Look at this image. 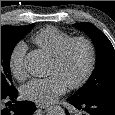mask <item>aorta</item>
Here are the masks:
<instances>
[{"label": "aorta", "mask_w": 115, "mask_h": 115, "mask_svg": "<svg viewBox=\"0 0 115 115\" xmlns=\"http://www.w3.org/2000/svg\"><path fill=\"white\" fill-rule=\"evenodd\" d=\"M27 71L36 77H43L48 70V62L46 57L39 51H33L28 54L25 61ZM46 115H66L65 110L54 105L48 108Z\"/></svg>", "instance_id": "762f6f07"}]
</instances>
